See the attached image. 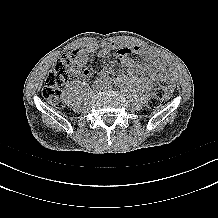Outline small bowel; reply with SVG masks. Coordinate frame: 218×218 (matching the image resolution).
<instances>
[{"label":"small bowel","instance_id":"c3829d8e","mask_svg":"<svg viewBox=\"0 0 218 218\" xmlns=\"http://www.w3.org/2000/svg\"><path fill=\"white\" fill-rule=\"evenodd\" d=\"M116 49L114 43H104L101 46L90 45L83 49L76 50L75 58L72 63L71 73L76 76L91 77L92 70L85 65L88 62L89 55L94 52H98L100 57H106L113 50ZM138 54L143 56V61H137L133 55ZM111 63H119L125 67V71H119L115 75L117 82H123L127 75L139 72L144 75H148L151 79L157 80L161 76L163 70V63L157 55L154 53L144 50L138 46L134 47H120L116 49V52L111 56ZM110 73V69L105 67L100 72V77H106ZM173 85L170 84L169 94H171Z\"/></svg>","mask_w":218,"mask_h":218}]
</instances>
